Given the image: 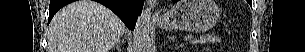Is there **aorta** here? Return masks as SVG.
Segmentation results:
<instances>
[{"mask_svg":"<svg viewBox=\"0 0 305 52\" xmlns=\"http://www.w3.org/2000/svg\"><path fill=\"white\" fill-rule=\"evenodd\" d=\"M151 14V8L146 7L137 19L133 31L134 52H152V42L149 33Z\"/></svg>","mask_w":305,"mask_h":52,"instance_id":"762f6f07","label":"aorta"}]
</instances>
